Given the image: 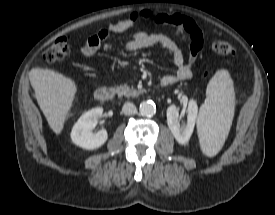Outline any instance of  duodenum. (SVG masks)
<instances>
[{"mask_svg":"<svg viewBox=\"0 0 275 215\" xmlns=\"http://www.w3.org/2000/svg\"><path fill=\"white\" fill-rule=\"evenodd\" d=\"M161 86L167 87L171 85V82L169 80H161L160 81ZM115 96V91L112 88H99L97 89L95 93V97L99 102H108L112 100Z\"/></svg>","mask_w":275,"mask_h":215,"instance_id":"1","label":"duodenum"}]
</instances>
